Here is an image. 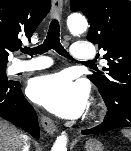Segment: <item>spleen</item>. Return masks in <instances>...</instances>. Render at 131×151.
I'll use <instances>...</instances> for the list:
<instances>
[{"label": "spleen", "mask_w": 131, "mask_h": 151, "mask_svg": "<svg viewBox=\"0 0 131 151\" xmlns=\"http://www.w3.org/2000/svg\"><path fill=\"white\" fill-rule=\"evenodd\" d=\"M123 135L131 141V130H122Z\"/></svg>", "instance_id": "3e777b00"}]
</instances>
